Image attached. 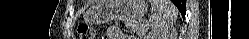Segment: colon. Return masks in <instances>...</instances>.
<instances>
[{"mask_svg":"<svg viewBox=\"0 0 249 39\" xmlns=\"http://www.w3.org/2000/svg\"><path fill=\"white\" fill-rule=\"evenodd\" d=\"M77 34L80 39L97 38V31L88 24H80L77 28Z\"/></svg>","mask_w":249,"mask_h":39,"instance_id":"colon-1","label":"colon"}]
</instances>
